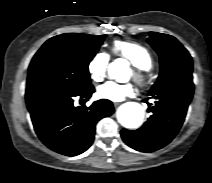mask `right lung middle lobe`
Wrapping results in <instances>:
<instances>
[{"mask_svg": "<svg viewBox=\"0 0 212 183\" xmlns=\"http://www.w3.org/2000/svg\"><path fill=\"white\" fill-rule=\"evenodd\" d=\"M105 35L61 34L47 40L33 57L27 85L83 90L91 85L88 65Z\"/></svg>", "mask_w": 212, "mask_h": 183, "instance_id": "dd1d6c3e", "label": "right lung middle lobe"}]
</instances>
